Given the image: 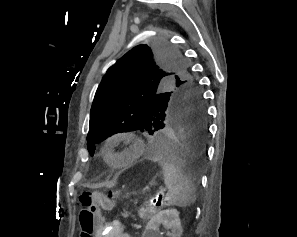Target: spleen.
Segmentation results:
<instances>
[{
    "instance_id": "obj_1",
    "label": "spleen",
    "mask_w": 297,
    "mask_h": 237,
    "mask_svg": "<svg viewBox=\"0 0 297 237\" xmlns=\"http://www.w3.org/2000/svg\"><path fill=\"white\" fill-rule=\"evenodd\" d=\"M159 163L163 170L164 183L168 189L166 200L171 205L187 207L195 202L196 188L189 177L184 175L180 167L165 158H160Z\"/></svg>"
}]
</instances>
